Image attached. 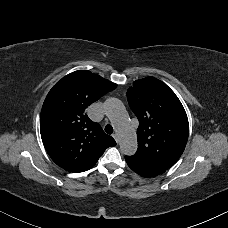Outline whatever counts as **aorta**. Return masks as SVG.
I'll use <instances>...</instances> for the list:
<instances>
[{"label":"aorta","instance_id":"1","mask_svg":"<svg viewBox=\"0 0 228 228\" xmlns=\"http://www.w3.org/2000/svg\"><path fill=\"white\" fill-rule=\"evenodd\" d=\"M105 113L116 128L121 151L128 156L137 150V136L131 126L123 103L116 98H109L104 103Z\"/></svg>","mask_w":228,"mask_h":228}]
</instances>
